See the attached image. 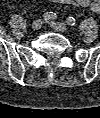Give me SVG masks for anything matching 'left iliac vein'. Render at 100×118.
<instances>
[{
  "label": "left iliac vein",
  "instance_id": "left-iliac-vein-1",
  "mask_svg": "<svg viewBox=\"0 0 100 118\" xmlns=\"http://www.w3.org/2000/svg\"><path fill=\"white\" fill-rule=\"evenodd\" d=\"M49 24L54 30L58 32H65L67 29L66 25L60 22L50 21Z\"/></svg>",
  "mask_w": 100,
  "mask_h": 118
}]
</instances>
